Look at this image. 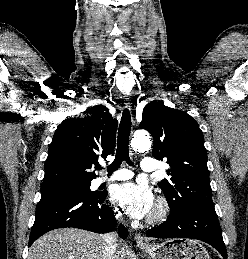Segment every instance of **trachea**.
<instances>
[{
    "instance_id": "1",
    "label": "trachea",
    "mask_w": 248,
    "mask_h": 259,
    "mask_svg": "<svg viewBox=\"0 0 248 259\" xmlns=\"http://www.w3.org/2000/svg\"><path fill=\"white\" fill-rule=\"evenodd\" d=\"M131 131V116L129 110L125 109L122 114L120 121L118 139H117V152L115 160L108 167V174L113 173L117 170L123 161H126L129 165L132 162L129 157V136ZM101 169V167H99Z\"/></svg>"
}]
</instances>
